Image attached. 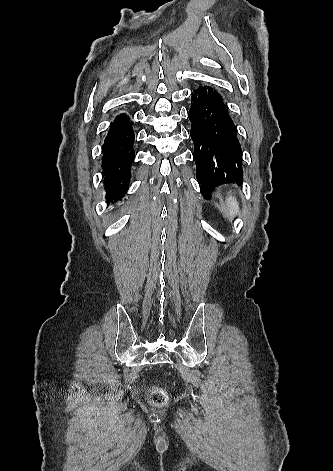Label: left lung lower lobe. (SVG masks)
Masks as SVG:
<instances>
[{"mask_svg": "<svg viewBox=\"0 0 333 471\" xmlns=\"http://www.w3.org/2000/svg\"><path fill=\"white\" fill-rule=\"evenodd\" d=\"M191 101L188 117L196 177L201 193L208 197L219 185L242 182V151L237 128L216 90L200 87L194 90Z\"/></svg>", "mask_w": 333, "mask_h": 471, "instance_id": "0a47b994", "label": "left lung lower lobe"}]
</instances>
